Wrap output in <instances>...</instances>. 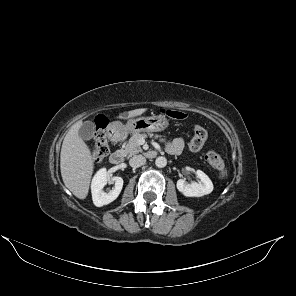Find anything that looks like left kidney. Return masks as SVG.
Here are the masks:
<instances>
[{
	"instance_id": "1",
	"label": "left kidney",
	"mask_w": 296,
	"mask_h": 296,
	"mask_svg": "<svg viewBox=\"0 0 296 296\" xmlns=\"http://www.w3.org/2000/svg\"><path fill=\"white\" fill-rule=\"evenodd\" d=\"M200 182L187 183L184 179L177 181V189L186 197H202L213 191V183L210 178L201 170L196 171Z\"/></svg>"
}]
</instances>
